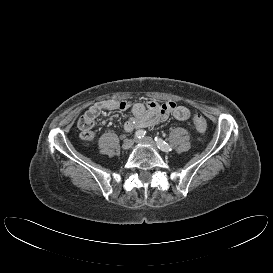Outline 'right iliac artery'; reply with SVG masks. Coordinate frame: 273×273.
I'll list each match as a JSON object with an SVG mask.
<instances>
[{
	"instance_id": "82829eb1",
	"label": "right iliac artery",
	"mask_w": 273,
	"mask_h": 273,
	"mask_svg": "<svg viewBox=\"0 0 273 273\" xmlns=\"http://www.w3.org/2000/svg\"><path fill=\"white\" fill-rule=\"evenodd\" d=\"M146 134V131L144 130H138L135 132V137L138 138V139H141L145 136Z\"/></svg>"
}]
</instances>
